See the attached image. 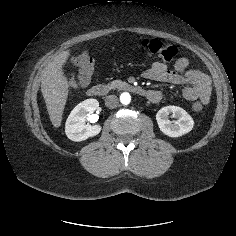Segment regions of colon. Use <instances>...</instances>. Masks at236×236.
I'll list each match as a JSON object with an SVG mask.
<instances>
[{
  "label": "colon",
  "instance_id": "1",
  "mask_svg": "<svg viewBox=\"0 0 236 236\" xmlns=\"http://www.w3.org/2000/svg\"><path fill=\"white\" fill-rule=\"evenodd\" d=\"M142 47L149 54L164 61H171L177 54V49L174 46L166 45L157 39H144ZM74 63L78 67V72L68 76L67 82L75 88L83 87L91 80L94 71V60L87 54H80L74 58ZM192 108L195 112H200L203 109V104L197 101Z\"/></svg>",
  "mask_w": 236,
  "mask_h": 236
}]
</instances>
